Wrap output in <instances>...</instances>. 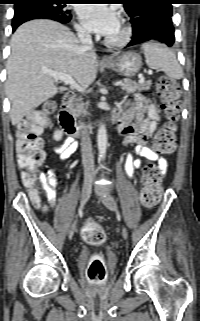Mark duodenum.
I'll use <instances>...</instances> for the list:
<instances>
[{
    "instance_id": "410a0bca",
    "label": "duodenum",
    "mask_w": 200,
    "mask_h": 321,
    "mask_svg": "<svg viewBox=\"0 0 200 321\" xmlns=\"http://www.w3.org/2000/svg\"><path fill=\"white\" fill-rule=\"evenodd\" d=\"M74 101V95L71 92L64 94L62 97L61 108L58 113V120L61 128L69 135L93 132L100 126V122L88 123L86 125H78L71 113V107ZM119 115L114 112L106 121L113 124L118 121Z\"/></svg>"
}]
</instances>
